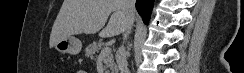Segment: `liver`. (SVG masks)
Instances as JSON below:
<instances>
[{
	"instance_id": "obj_1",
	"label": "liver",
	"mask_w": 244,
	"mask_h": 73,
	"mask_svg": "<svg viewBox=\"0 0 244 73\" xmlns=\"http://www.w3.org/2000/svg\"><path fill=\"white\" fill-rule=\"evenodd\" d=\"M126 26L121 0H64L52 27L49 46L52 48L72 35L95 34L100 30V37H113L122 33Z\"/></svg>"
}]
</instances>
